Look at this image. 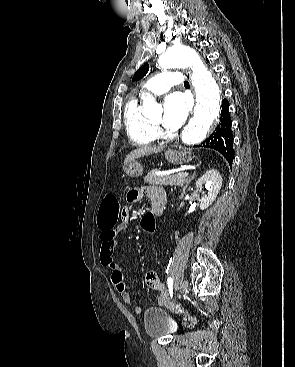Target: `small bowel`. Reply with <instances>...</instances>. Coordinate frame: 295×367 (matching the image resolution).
<instances>
[{
	"label": "small bowel",
	"instance_id": "obj_1",
	"mask_svg": "<svg viewBox=\"0 0 295 367\" xmlns=\"http://www.w3.org/2000/svg\"><path fill=\"white\" fill-rule=\"evenodd\" d=\"M150 198L151 202L155 200H161L166 202V194L161 187L157 186H146L143 188H133L127 194V201L130 203L138 202L143 196ZM131 217L129 208L121 209L120 223L113 226H103L98 223L100 228V240H101V251L100 260L104 267L110 271V279L114 285L116 291L119 293L122 301L126 304L131 302V295L126 289V283L122 268L114 259V248L116 246L117 235L126 229L129 219ZM147 285L160 292L158 301L163 303L166 298V292L160 282V278L157 272L150 271L146 274ZM142 308L139 305L133 307L135 313H140Z\"/></svg>",
	"mask_w": 295,
	"mask_h": 367
}]
</instances>
